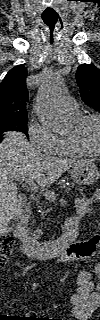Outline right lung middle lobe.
Wrapping results in <instances>:
<instances>
[{
    "mask_svg": "<svg viewBox=\"0 0 100 320\" xmlns=\"http://www.w3.org/2000/svg\"><path fill=\"white\" fill-rule=\"evenodd\" d=\"M27 117H18L0 120V134L8 131L23 132L28 135L27 131Z\"/></svg>",
    "mask_w": 100,
    "mask_h": 320,
    "instance_id": "1",
    "label": "right lung middle lobe"
}]
</instances>
